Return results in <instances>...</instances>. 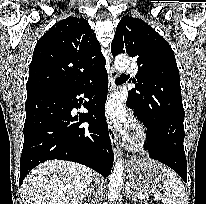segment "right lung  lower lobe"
Masks as SVG:
<instances>
[{
  "label": "right lung lower lobe",
  "instance_id": "1",
  "mask_svg": "<svg viewBox=\"0 0 206 204\" xmlns=\"http://www.w3.org/2000/svg\"><path fill=\"white\" fill-rule=\"evenodd\" d=\"M107 91L103 68L75 88L27 95L20 184L31 169L51 159L81 163L104 177L110 174L114 154L104 112ZM81 94L89 101L77 98ZM81 104L88 113L73 115Z\"/></svg>",
  "mask_w": 206,
  "mask_h": 204
}]
</instances>
